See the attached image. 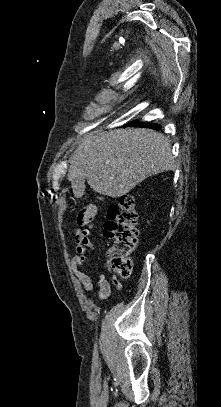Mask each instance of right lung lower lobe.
I'll return each instance as SVG.
<instances>
[{"mask_svg":"<svg viewBox=\"0 0 221 407\" xmlns=\"http://www.w3.org/2000/svg\"><path fill=\"white\" fill-rule=\"evenodd\" d=\"M141 126V127H148V128H152V129H159V125L158 124H149V123H138L137 121L131 122L126 126Z\"/></svg>","mask_w":221,"mask_h":407,"instance_id":"right-lung-lower-lobe-1","label":"right lung lower lobe"}]
</instances>
